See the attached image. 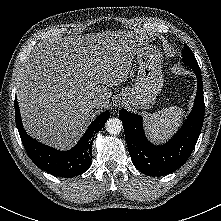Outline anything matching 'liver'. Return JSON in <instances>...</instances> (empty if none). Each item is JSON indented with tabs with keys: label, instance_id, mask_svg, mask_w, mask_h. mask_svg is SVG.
Wrapping results in <instances>:
<instances>
[{
	"label": "liver",
	"instance_id": "6515ba94",
	"mask_svg": "<svg viewBox=\"0 0 221 221\" xmlns=\"http://www.w3.org/2000/svg\"><path fill=\"white\" fill-rule=\"evenodd\" d=\"M146 35L106 31L39 43L17 79V99L27 133L59 149L73 146L93 116L103 110L111 87L123 83Z\"/></svg>",
	"mask_w": 221,
	"mask_h": 221
}]
</instances>
